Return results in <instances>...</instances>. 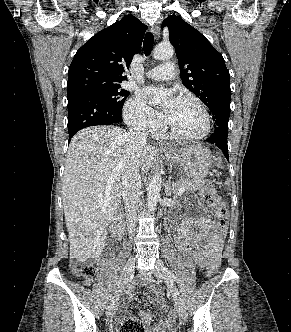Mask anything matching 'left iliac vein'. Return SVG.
Masks as SVG:
<instances>
[{"label": "left iliac vein", "instance_id": "4c4485c4", "mask_svg": "<svg viewBox=\"0 0 291 332\" xmlns=\"http://www.w3.org/2000/svg\"><path fill=\"white\" fill-rule=\"evenodd\" d=\"M164 268H165V266H164L163 262L161 260H157L154 274L156 277L164 280L165 283L167 284L168 289L171 293L172 299L175 302L179 317L181 318L182 321H185L187 319V311H186L184 301H183L177 287L174 285V282L168 276V273L166 272V270Z\"/></svg>", "mask_w": 291, "mask_h": 332}]
</instances>
